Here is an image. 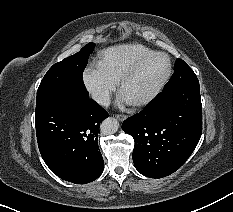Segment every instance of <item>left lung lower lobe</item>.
<instances>
[{
    "mask_svg": "<svg viewBox=\"0 0 233 212\" xmlns=\"http://www.w3.org/2000/svg\"><path fill=\"white\" fill-rule=\"evenodd\" d=\"M122 129L135 141L136 169L150 178L174 173L189 158L202 134V104L196 76L163 89Z\"/></svg>",
    "mask_w": 233,
    "mask_h": 212,
    "instance_id": "0a47b994",
    "label": "left lung lower lobe"
}]
</instances>
